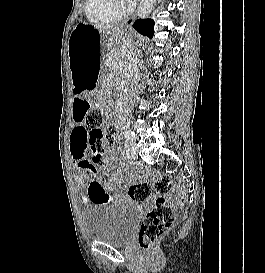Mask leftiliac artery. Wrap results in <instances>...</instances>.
Here are the masks:
<instances>
[{
	"mask_svg": "<svg viewBox=\"0 0 265 273\" xmlns=\"http://www.w3.org/2000/svg\"><path fill=\"white\" fill-rule=\"evenodd\" d=\"M124 136L127 138V139H130V140H133L135 139V133L134 132H131L127 129H124Z\"/></svg>",
	"mask_w": 265,
	"mask_h": 273,
	"instance_id": "obj_1",
	"label": "left iliac artery"
}]
</instances>
